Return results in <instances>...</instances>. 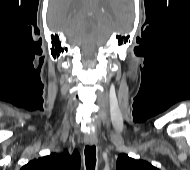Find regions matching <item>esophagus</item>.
<instances>
[{
  "instance_id": "1",
  "label": "esophagus",
  "mask_w": 190,
  "mask_h": 170,
  "mask_svg": "<svg viewBox=\"0 0 190 170\" xmlns=\"http://www.w3.org/2000/svg\"><path fill=\"white\" fill-rule=\"evenodd\" d=\"M97 137L94 135H88L85 137V143L89 146H92L97 143Z\"/></svg>"
}]
</instances>
